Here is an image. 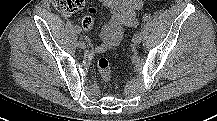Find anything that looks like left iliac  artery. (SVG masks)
<instances>
[{
    "label": "left iliac artery",
    "mask_w": 217,
    "mask_h": 121,
    "mask_svg": "<svg viewBox=\"0 0 217 121\" xmlns=\"http://www.w3.org/2000/svg\"><path fill=\"white\" fill-rule=\"evenodd\" d=\"M150 19H151V17H150L149 14H145V15L143 16V21H145V22H148Z\"/></svg>",
    "instance_id": "44dca946"
}]
</instances>
